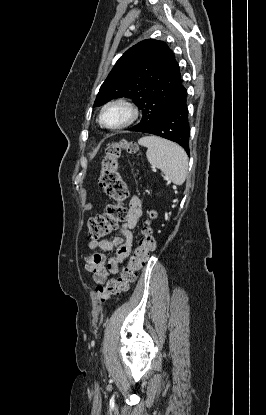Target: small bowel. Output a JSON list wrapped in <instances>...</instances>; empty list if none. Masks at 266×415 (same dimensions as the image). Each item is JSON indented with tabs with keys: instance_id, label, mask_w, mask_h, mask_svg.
Returning a JSON list of instances; mask_svg holds the SVG:
<instances>
[{
	"instance_id": "1",
	"label": "small bowel",
	"mask_w": 266,
	"mask_h": 415,
	"mask_svg": "<svg viewBox=\"0 0 266 415\" xmlns=\"http://www.w3.org/2000/svg\"><path fill=\"white\" fill-rule=\"evenodd\" d=\"M142 215V203L138 196L133 195L128 202L126 220L117 229V235L109 239L91 240L88 246L91 250L100 249L102 252L93 253L85 258V269L91 273L93 280L103 284L110 275L118 273L121 264L129 256L132 248V230ZM116 249L113 257L106 253Z\"/></svg>"
}]
</instances>
